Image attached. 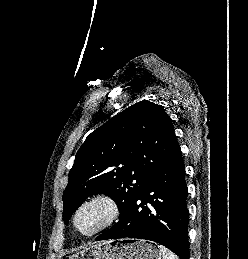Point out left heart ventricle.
Wrapping results in <instances>:
<instances>
[{
  "mask_svg": "<svg viewBox=\"0 0 248 259\" xmlns=\"http://www.w3.org/2000/svg\"><path fill=\"white\" fill-rule=\"evenodd\" d=\"M109 209L105 204L95 203L85 207L79 214L77 224L82 232H91L105 222Z\"/></svg>",
  "mask_w": 248,
  "mask_h": 259,
  "instance_id": "obj_1",
  "label": "left heart ventricle"
}]
</instances>
